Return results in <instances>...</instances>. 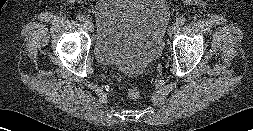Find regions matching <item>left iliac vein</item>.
<instances>
[{
  "label": "left iliac vein",
  "instance_id": "obj_1",
  "mask_svg": "<svg viewBox=\"0 0 253 131\" xmlns=\"http://www.w3.org/2000/svg\"><path fill=\"white\" fill-rule=\"evenodd\" d=\"M177 28H178V24H177V23H173V24L169 27V29H168V34H169V36H172V35L176 32Z\"/></svg>",
  "mask_w": 253,
  "mask_h": 131
}]
</instances>
